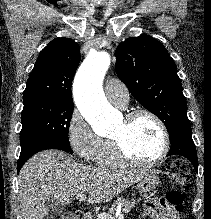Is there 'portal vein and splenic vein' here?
I'll list each match as a JSON object with an SVG mask.
<instances>
[{"mask_svg": "<svg viewBox=\"0 0 211 219\" xmlns=\"http://www.w3.org/2000/svg\"><path fill=\"white\" fill-rule=\"evenodd\" d=\"M75 197H76V199L79 200L80 202L84 201L85 198H86L85 194H78V195H76ZM118 219H124V215H123V214H120V215L118 216Z\"/></svg>", "mask_w": 211, "mask_h": 219, "instance_id": "portal-vein-and-splenic-vein-1", "label": "portal vein and splenic vein"}]
</instances>
